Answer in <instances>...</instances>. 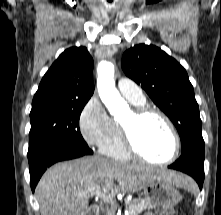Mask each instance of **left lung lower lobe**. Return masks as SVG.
<instances>
[{
    "instance_id": "0a47b994",
    "label": "left lung lower lobe",
    "mask_w": 221,
    "mask_h": 215,
    "mask_svg": "<svg viewBox=\"0 0 221 215\" xmlns=\"http://www.w3.org/2000/svg\"><path fill=\"white\" fill-rule=\"evenodd\" d=\"M168 168L192 176L198 183L199 188L202 189L204 181V149L189 148L181 153L180 158Z\"/></svg>"
}]
</instances>
